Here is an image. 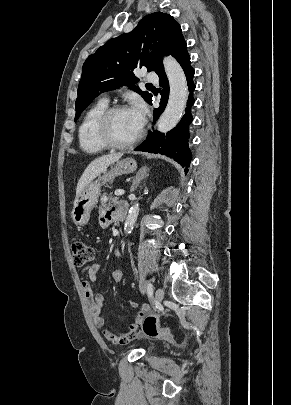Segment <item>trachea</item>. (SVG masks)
Masks as SVG:
<instances>
[{"label": "trachea", "mask_w": 291, "mask_h": 405, "mask_svg": "<svg viewBox=\"0 0 291 405\" xmlns=\"http://www.w3.org/2000/svg\"><path fill=\"white\" fill-rule=\"evenodd\" d=\"M147 86H152V84H147Z\"/></svg>", "instance_id": "1"}]
</instances>
